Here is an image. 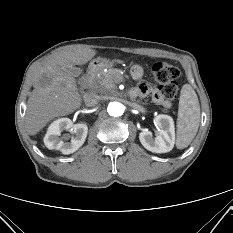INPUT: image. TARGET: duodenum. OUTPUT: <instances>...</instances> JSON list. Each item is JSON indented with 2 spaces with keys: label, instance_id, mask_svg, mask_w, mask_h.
Listing matches in <instances>:
<instances>
[{
  "label": "duodenum",
  "instance_id": "410a0bca",
  "mask_svg": "<svg viewBox=\"0 0 233 233\" xmlns=\"http://www.w3.org/2000/svg\"><path fill=\"white\" fill-rule=\"evenodd\" d=\"M100 64L101 62H96L95 64H92L90 66L85 78V84H84L85 89H90L91 86L93 85Z\"/></svg>",
  "mask_w": 233,
  "mask_h": 233
}]
</instances>
